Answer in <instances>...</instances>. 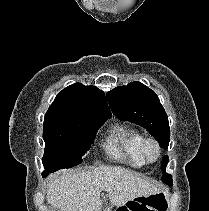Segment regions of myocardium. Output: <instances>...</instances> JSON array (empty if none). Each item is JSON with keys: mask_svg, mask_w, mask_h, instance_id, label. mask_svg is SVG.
Instances as JSON below:
<instances>
[{"mask_svg": "<svg viewBox=\"0 0 209 211\" xmlns=\"http://www.w3.org/2000/svg\"><path fill=\"white\" fill-rule=\"evenodd\" d=\"M150 149L154 150V156L150 154ZM141 154L147 163H155L161 157V146L154 138H144L141 143Z\"/></svg>", "mask_w": 209, "mask_h": 211, "instance_id": "myocardium-1", "label": "myocardium"}]
</instances>
